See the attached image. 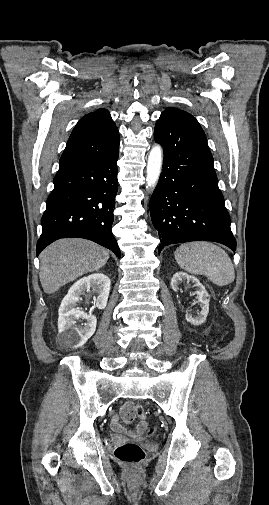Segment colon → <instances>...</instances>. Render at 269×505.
<instances>
[{
  "label": "colon",
  "mask_w": 269,
  "mask_h": 505,
  "mask_svg": "<svg viewBox=\"0 0 269 505\" xmlns=\"http://www.w3.org/2000/svg\"><path fill=\"white\" fill-rule=\"evenodd\" d=\"M134 413L142 418L144 416V409L141 406H136L134 408ZM153 432V428L150 427L147 430V434H151ZM115 457L122 463L129 465H137L139 464L145 456L144 450L136 443L126 442L118 445L115 448Z\"/></svg>",
  "instance_id": "5ec220e1"
}]
</instances>
